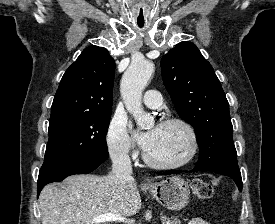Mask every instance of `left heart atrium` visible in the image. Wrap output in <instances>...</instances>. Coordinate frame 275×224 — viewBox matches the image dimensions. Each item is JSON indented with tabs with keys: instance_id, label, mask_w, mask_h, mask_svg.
I'll return each instance as SVG.
<instances>
[{
	"instance_id": "1",
	"label": "left heart atrium",
	"mask_w": 275,
	"mask_h": 224,
	"mask_svg": "<svg viewBox=\"0 0 275 224\" xmlns=\"http://www.w3.org/2000/svg\"><path fill=\"white\" fill-rule=\"evenodd\" d=\"M155 133H156V128L150 130L147 133L140 134L137 136L138 142L144 149L148 150L151 147L155 137Z\"/></svg>"
}]
</instances>
